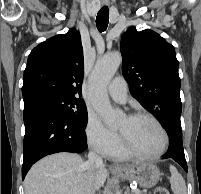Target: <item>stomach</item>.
<instances>
[{
	"label": "stomach",
	"instance_id": "stomach-1",
	"mask_svg": "<svg viewBox=\"0 0 201 194\" xmlns=\"http://www.w3.org/2000/svg\"><path fill=\"white\" fill-rule=\"evenodd\" d=\"M118 175L128 181H135L141 187L151 188L160 178L159 169L150 163L125 165L118 170Z\"/></svg>",
	"mask_w": 201,
	"mask_h": 194
}]
</instances>
